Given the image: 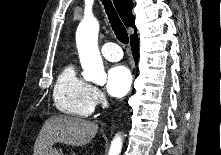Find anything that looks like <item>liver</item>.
Returning a JSON list of instances; mask_svg holds the SVG:
<instances>
[{
  "label": "liver",
  "mask_w": 221,
  "mask_h": 155,
  "mask_svg": "<svg viewBox=\"0 0 221 155\" xmlns=\"http://www.w3.org/2000/svg\"><path fill=\"white\" fill-rule=\"evenodd\" d=\"M97 131L98 125L95 122L64 115L52 116L40 130L33 155H45L56 143L83 146L92 141Z\"/></svg>",
  "instance_id": "liver-1"
}]
</instances>
